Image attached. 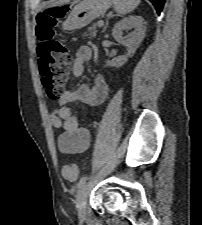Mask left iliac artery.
<instances>
[{
	"instance_id": "44dca946",
	"label": "left iliac artery",
	"mask_w": 202,
	"mask_h": 225,
	"mask_svg": "<svg viewBox=\"0 0 202 225\" xmlns=\"http://www.w3.org/2000/svg\"><path fill=\"white\" fill-rule=\"evenodd\" d=\"M86 180H87V177H86V176H83V177L79 180V182L77 183V187H78L79 189L82 188V187L84 186Z\"/></svg>"
}]
</instances>
